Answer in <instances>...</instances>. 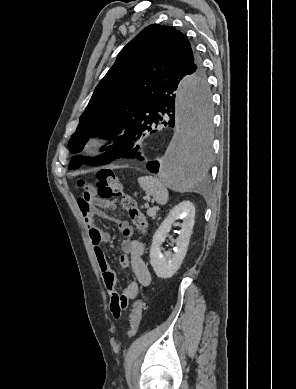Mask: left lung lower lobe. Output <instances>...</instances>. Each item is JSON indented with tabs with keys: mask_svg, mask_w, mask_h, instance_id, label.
Masks as SVG:
<instances>
[{
	"mask_svg": "<svg viewBox=\"0 0 296 389\" xmlns=\"http://www.w3.org/2000/svg\"><path fill=\"white\" fill-rule=\"evenodd\" d=\"M170 78L157 91L155 104L146 119L141 121L143 117H135L126 126L122 135L113 140L112 144L105 148V153L101 155V165L108 164L116 159L144 160V147L141 143V137L145 136L146 131H151L152 123H162L165 126L168 124L170 127L175 126L177 118L176 90L182 76L176 75ZM205 81V77L190 79L191 98L195 112L197 113V120L195 126L186 131L185 140L193 163V178L195 179L204 175L210 159L211 144L209 133L211 124V99ZM160 113L165 115L162 116ZM154 131L152 130L151 133H154ZM147 168L152 173H157L159 163L157 161H150L147 163Z\"/></svg>",
	"mask_w": 296,
	"mask_h": 389,
	"instance_id": "left-lung-lower-lobe-1",
	"label": "left lung lower lobe"
}]
</instances>
